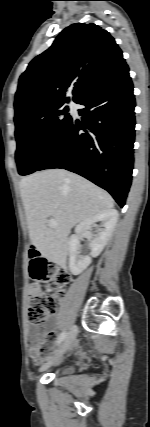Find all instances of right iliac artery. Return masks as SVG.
Masks as SVG:
<instances>
[{
  "label": "right iliac artery",
  "mask_w": 150,
  "mask_h": 427,
  "mask_svg": "<svg viewBox=\"0 0 150 427\" xmlns=\"http://www.w3.org/2000/svg\"><path fill=\"white\" fill-rule=\"evenodd\" d=\"M66 335H67L66 331L62 332L58 337L56 344H60L65 339Z\"/></svg>",
  "instance_id": "obj_1"
}]
</instances>
